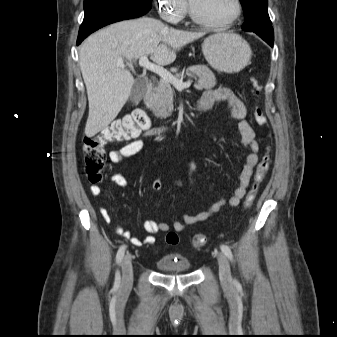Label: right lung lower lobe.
Wrapping results in <instances>:
<instances>
[{"mask_svg": "<svg viewBox=\"0 0 337 337\" xmlns=\"http://www.w3.org/2000/svg\"><path fill=\"white\" fill-rule=\"evenodd\" d=\"M151 9L149 5H138L122 0H101L85 8L83 23L80 26L77 45L89 34L108 24L140 17Z\"/></svg>", "mask_w": 337, "mask_h": 337, "instance_id": "98d812e1", "label": "right lung lower lobe"}]
</instances>
